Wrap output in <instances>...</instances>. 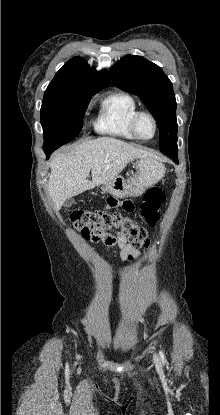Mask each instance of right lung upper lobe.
Masks as SVG:
<instances>
[{
    "mask_svg": "<svg viewBox=\"0 0 220 415\" xmlns=\"http://www.w3.org/2000/svg\"><path fill=\"white\" fill-rule=\"evenodd\" d=\"M110 81L107 70L95 72L83 58L73 57L56 73L47 90L92 93L99 92Z\"/></svg>",
    "mask_w": 220,
    "mask_h": 415,
    "instance_id": "obj_1",
    "label": "right lung upper lobe"
}]
</instances>
